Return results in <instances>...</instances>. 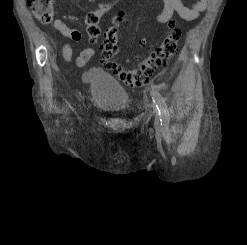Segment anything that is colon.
Returning <instances> with one entry per match:
<instances>
[{"label":"colon","mask_w":247,"mask_h":245,"mask_svg":"<svg viewBox=\"0 0 247 245\" xmlns=\"http://www.w3.org/2000/svg\"><path fill=\"white\" fill-rule=\"evenodd\" d=\"M28 5L34 16L41 23L47 24L53 19V0H28ZM107 10L108 6L102 5L86 15V30L92 42H95L100 35L99 23ZM180 36V29L175 25H171L168 33L155 46L149 49L146 56L136 66L126 68L113 59L119 51L117 44L118 34L113 31H107L102 63L106 68L112 70L116 77L126 85L131 87L144 86L149 83L156 72L164 69L176 55ZM143 45H145V42H143Z\"/></svg>","instance_id":"1"}]
</instances>
